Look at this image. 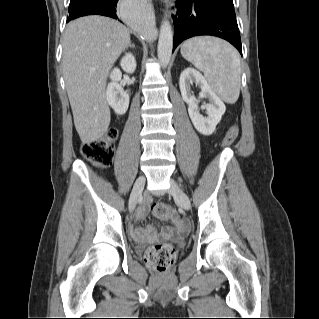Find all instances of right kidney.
<instances>
[{"instance_id":"obj_1","label":"right kidney","mask_w":319,"mask_h":319,"mask_svg":"<svg viewBox=\"0 0 319 319\" xmlns=\"http://www.w3.org/2000/svg\"><path fill=\"white\" fill-rule=\"evenodd\" d=\"M120 65L126 73H134L136 69L134 56L131 53H126L121 59ZM121 77V71L118 68L113 69L110 74L111 82L106 91L107 102L118 115L125 114L129 106V95L119 84Z\"/></svg>"}]
</instances>
